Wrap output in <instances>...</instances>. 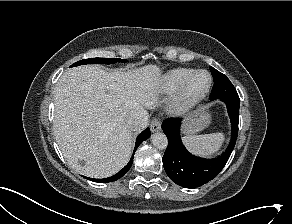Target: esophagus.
Masks as SVG:
<instances>
[{"label":"esophagus","mask_w":292,"mask_h":224,"mask_svg":"<svg viewBox=\"0 0 292 224\" xmlns=\"http://www.w3.org/2000/svg\"><path fill=\"white\" fill-rule=\"evenodd\" d=\"M150 128H151V131H152V132L160 131V130H161V123H160L159 119L154 118V119L151 121Z\"/></svg>","instance_id":"obj_1"}]
</instances>
